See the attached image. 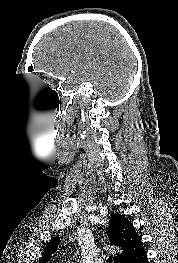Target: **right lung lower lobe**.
<instances>
[{"instance_id":"98d812e1","label":"right lung lower lobe","mask_w":178,"mask_h":263,"mask_svg":"<svg viewBox=\"0 0 178 263\" xmlns=\"http://www.w3.org/2000/svg\"><path fill=\"white\" fill-rule=\"evenodd\" d=\"M130 263H148V259L146 256L145 250L140 252L135 259H133Z\"/></svg>"}]
</instances>
